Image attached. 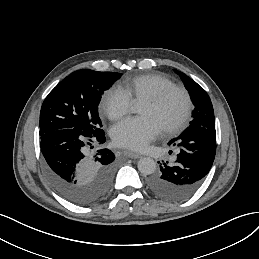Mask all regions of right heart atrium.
Masks as SVG:
<instances>
[{
    "instance_id": "obj_1",
    "label": "right heart atrium",
    "mask_w": 259,
    "mask_h": 259,
    "mask_svg": "<svg viewBox=\"0 0 259 259\" xmlns=\"http://www.w3.org/2000/svg\"><path fill=\"white\" fill-rule=\"evenodd\" d=\"M103 113L111 120H116L130 111L131 102L114 89L106 90L101 97Z\"/></svg>"
}]
</instances>
